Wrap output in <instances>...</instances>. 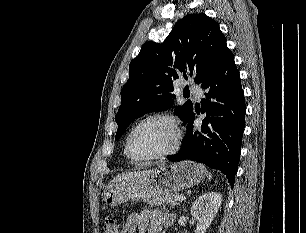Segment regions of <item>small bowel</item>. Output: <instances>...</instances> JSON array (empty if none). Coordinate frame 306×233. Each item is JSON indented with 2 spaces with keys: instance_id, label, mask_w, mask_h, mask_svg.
I'll return each instance as SVG.
<instances>
[{
  "instance_id": "small-bowel-1",
  "label": "small bowel",
  "mask_w": 306,
  "mask_h": 233,
  "mask_svg": "<svg viewBox=\"0 0 306 233\" xmlns=\"http://www.w3.org/2000/svg\"><path fill=\"white\" fill-rule=\"evenodd\" d=\"M174 222V215L160 210L142 209L128 216L123 233H159Z\"/></svg>"
}]
</instances>
